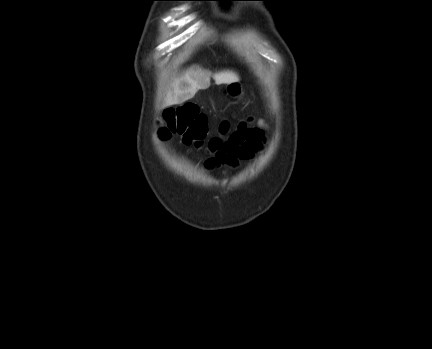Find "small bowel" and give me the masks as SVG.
<instances>
[{"label":"small bowel","mask_w":432,"mask_h":349,"mask_svg":"<svg viewBox=\"0 0 432 349\" xmlns=\"http://www.w3.org/2000/svg\"><path fill=\"white\" fill-rule=\"evenodd\" d=\"M266 128L265 122L260 121L258 127L236 131L224 144L221 152L210 161V164L236 166L242 160L251 159L265 143Z\"/></svg>","instance_id":"c3829d8e"}]
</instances>
